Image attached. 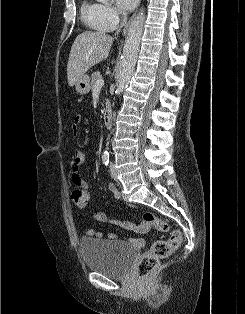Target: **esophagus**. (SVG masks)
<instances>
[{
    "mask_svg": "<svg viewBox=\"0 0 245 314\" xmlns=\"http://www.w3.org/2000/svg\"><path fill=\"white\" fill-rule=\"evenodd\" d=\"M140 1H141V0H139V4H140ZM137 10H138V8H137ZM137 10L134 12V14H133L132 17L130 18V20H129V21L127 22V24L125 25V27H124V29H123V31H122V34H123V35H126V34H127L128 30H129V27H130V24H131L132 20L134 19V17L136 16Z\"/></svg>",
    "mask_w": 245,
    "mask_h": 314,
    "instance_id": "34e87169",
    "label": "esophagus"
}]
</instances>
